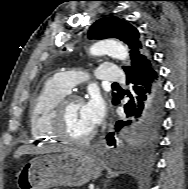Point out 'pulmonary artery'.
Here are the masks:
<instances>
[{
    "instance_id": "1",
    "label": "pulmonary artery",
    "mask_w": 188,
    "mask_h": 189,
    "mask_svg": "<svg viewBox=\"0 0 188 189\" xmlns=\"http://www.w3.org/2000/svg\"><path fill=\"white\" fill-rule=\"evenodd\" d=\"M85 78L80 71L67 70L55 75L58 83L71 90ZM94 78L100 82H118L124 79L123 72L115 64H102L95 72Z\"/></svg>"
}]
</instances>
